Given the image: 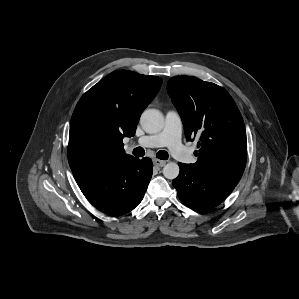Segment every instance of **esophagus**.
<instances>
[{
  "mask_svg": "<svg viewBox=\"0 0 299 299\" xmlns=\"http://www.w3.org/2000/svg\"><path fill=\"white\" fill-rule=\"evenodd\" d=\"M153 164L157 167H163L166 164V161L159 160V159H153Z\"/></svg>",
  "mask_w": 299,
  "mask_h": 299,
  "instance_id": "34e87169",
  "label": "esophagus"
}]
</instances>
